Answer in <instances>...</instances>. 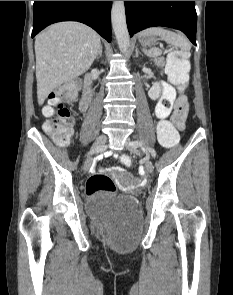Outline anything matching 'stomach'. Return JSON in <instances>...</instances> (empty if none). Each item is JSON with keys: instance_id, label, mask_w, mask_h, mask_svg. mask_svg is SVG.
I'll list each match as a JSON object with an SVG mask.
<instances>
[{"instance_id": "0dacf381", "label": "stomach", "mask_w": 233, "mask_h": 295, "mask_svg": "<svg viewBox=\"0 0 233 295\" xmlns=\"http://www.w3.org/2000/svg\"><path fill=\"white\" fill-rule=\"evenodd\" d=\"M139 41L142 47L145 49L147 47H151L155 45V43L157 42V38H156V35H149V36L141 37Z\"/></svg>"}]
</instances>
